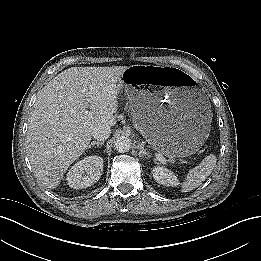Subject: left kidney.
Returning a JSON list of instances; mask_svg holds the SVG:
<instances>
[{
  "mask_svg": "<svg viewBox=\"0 0 261 261\" xmlns=\"http://www.w3.org/2000/svg\"><path fill=\"white\" fill-rule=\"evenodd\" d=\"M154 180L165 186H176L179 184L177 176L164 167H155L152 170Z\"/></svg>",
  "mask_w": 261,
  "mask_h": 261,
  "instance_id": "5707ae66",
  "label": "left kidney"
}]
</instances>
